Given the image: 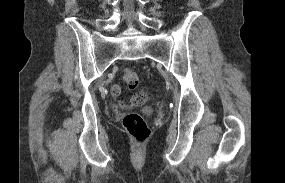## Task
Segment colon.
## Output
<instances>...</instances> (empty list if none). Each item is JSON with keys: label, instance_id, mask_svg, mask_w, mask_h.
<instances>
[{"label": "colon", "instance_id": "obj_1", "mask_svg": "<svg viewBox=\"0 0 285 183\" xmlns=\"http://www.w3.org/2000/svg\"><path fill=\"white\" fill-rule=\"evenodd\" d=\"M123 80L130 89L136 88L139 83L138 74L132 68L124 69ZM144 99L145 95L142 92H139L132 97L131 105H139ZM123 126L137 143L145 142L150 135V130L144 118L137 112L126 113L123 117Z\"/></svg>", "mask_w": 285, "mask_h": 183}]
</instances>
